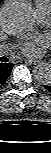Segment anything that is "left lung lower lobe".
<instances>
[{"instance_id": "0a47b994", "label": "left lung lower lobe", "mask_w": 51, "mask_h": 153, "mask_svg": "<svg viewBox=\"0 0 51 153\" xmlns=\"http://www.w3.org/2000/svg\"><path fill=\"white\" fill-rule=\"evenodd\" d=\"M44 86H45V88H46L48 91H50V92H51V84L44 85Z\"/></svg>"}]
</instances>
